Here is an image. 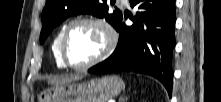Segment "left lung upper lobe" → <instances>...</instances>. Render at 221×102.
<instances>
[{"mask_svg":"<svg viewBox=\"0 0 221 102\" xmlns=\"http://www.w3.org/2000/svg\"><path fill=\"white\" fill-rule=\"evenodd\" d=\"M106 0H46L42 12V30L40 42L43 43L50 32L63 20L71 15L89 13L106 20L117 29L122 20V13L117 8L113 13L108 12Z\"/></svg>","mask_w":221,"mask_h":102,"instance_id":"left-lung-upper-lobe-1","label":"left lung upper lobe"}]
</instances>
